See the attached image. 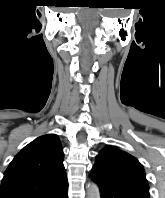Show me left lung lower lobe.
Masks as SVG:
<instances>
[{"label":"left lung lower lobe","mask_w":165,"mask_h":198,"mask_svg":"<svg viewBox=\"0 0 165 198\" xmlns=\"http://www.w3.org/2000/svg\"><path fill=\"white\" fill-rule=\"evenodd\" d=\"M91 177L92 180L99 186L101 198H138L131 193L115 188L93 173H91Z\"/></svg>","instance_id":"1"}]
</instances>
